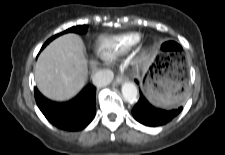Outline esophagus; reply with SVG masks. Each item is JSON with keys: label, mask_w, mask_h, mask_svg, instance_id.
Listing matches in <instances>:
<instances>
[{"label": "esophagus", "mask_w": 225, "mask_h": 155, "mask_svg": "<svg viewBox=\"0 0 225 155\" xmlns=\"http://www.w3.org/2000/svg\"><path fill=\"white\" fill-rule=\"evenodd\" d=\"M125 80V78L123 76H117L113 82L114 85H119L121 84L123 81Z\"/></svg>", "instance_id": "1"}]
</instances>
